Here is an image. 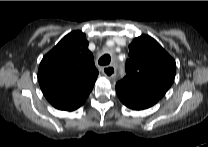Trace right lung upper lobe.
Segmentation results:
<instances>
[{"label":"right lung upper lobe","mask_w":208,"mask_h":147,"mask_svg":"<svg viewBox=\"0 0 208 147\" xmlns=\"http://www.w3.org/2000/svg\"><path fill=\"white\" fill-rule=\"evenodd\" d=\"M98 76L88 41L81 31L66 35L39 66L38 81L47 100L59 110H75L86 100Z\"/></svg>","instance_id":"obj_1"}]
</instances>
